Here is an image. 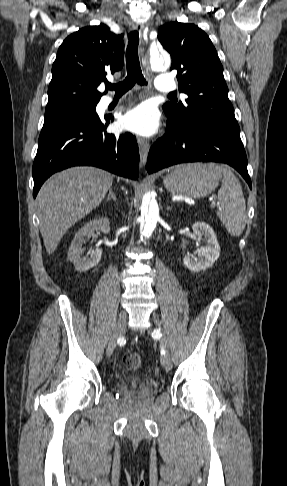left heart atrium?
I'll return each mask as SVG.
<instances>
[{"label":"left heart atrium","instance_id":"1","mask_svg":"<svg viewBox=\"0 0 287 486\" xmlns=\"http://www.w3.org/2000/svg\"><path fill=\"white\" fill-rule=\"evenodd\" d=\"M123 125L138 134L151 135L158 128L157 112L151 106L140 105L124 116Z\"/></svg>","mask_w":287,"mask_h":486}]
</instances>
